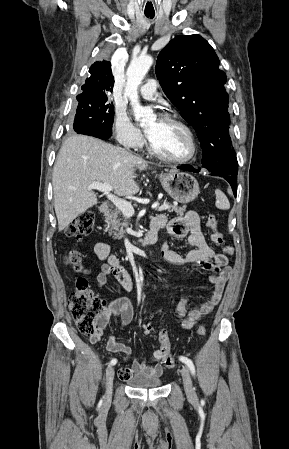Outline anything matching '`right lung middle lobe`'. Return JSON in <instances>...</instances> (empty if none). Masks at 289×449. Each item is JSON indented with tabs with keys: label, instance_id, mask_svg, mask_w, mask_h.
<instances>
[{
	"label": "right lung middle lobe",
	"instance_id": "1",
	"mask_svg": "<svg viewBox=\"0 0 289 449\" xmlns=\"http://www.w3.org/2000/svg\"><path fill=\"white\" fill-rule=\"evenodd\" d=\"M78 108L73 128L77 133L84 129L107 136L112 134L114 106L104 92L90 95H78Z\"/></svg>",
	"mask_w": 289,
	"mask_h": 449
}]
</instances>
